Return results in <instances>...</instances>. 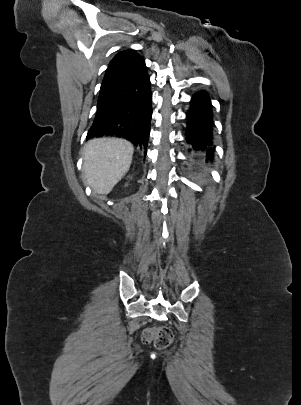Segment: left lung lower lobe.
<instances>
[{
    "label": "left lung lower lobe",
    "mask_w": 301,
    "mask_h": 405,
    "mask_svg": "<svg viewBox=\"0 0 301 405\" xmlns=\"http://www.w3.org/2000/svg\"><path fill=\"white\" fill-rule=\"evenodd\" d=\"M212 105L205 91L195 93L191 100V108L187 112L186 139L194 149H207V154L213 155L212 142Z\"/></svg>",
    "instance_id": "obj_1"
}]
</instances>
